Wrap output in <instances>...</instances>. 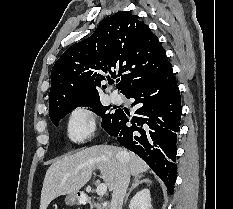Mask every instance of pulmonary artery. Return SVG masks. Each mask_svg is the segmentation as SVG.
I'll list each match as a JSON object with an SVG mask.
<instances>
[{
  "label": "pulmonary artery",
  "instance_id": "pulmonary-artery-1",
  "mask_svg": "<svg viewBox=\"0 0 233 209\" xmlns=\"http://www.w3.org/2000/svg\"><path fill=\"white\" fill-rule=\"evenodd\" d=\"M110 100L112 101V103H120L122 98L121 96L117 93V92H111L110 93Z\"/></svg>",
  "mask_w": 233,
  "mask_h": 209
}]
</instances>
